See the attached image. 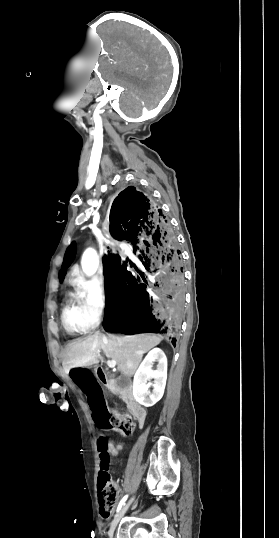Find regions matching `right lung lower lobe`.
<instances>
[{"instance_id":"obj_1","label":"right lung lower lobe","mask_w":279,"mask_h":538,"mask_svg":"<svg viewBox=\"0 0 279 538\" xmlns=\"http://www.w3.org/2000/svg\"><path fill=\"white\" fill-rule=\"evenodd\" d=\"M110 233L130 242L139 261L130 272L117 256L104 258L103 327L175 334L185 311V282L181 252L166 216L152 198L129 186L112 204Z\"/></svg>"}]
</instances>
